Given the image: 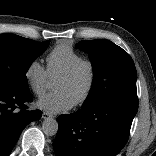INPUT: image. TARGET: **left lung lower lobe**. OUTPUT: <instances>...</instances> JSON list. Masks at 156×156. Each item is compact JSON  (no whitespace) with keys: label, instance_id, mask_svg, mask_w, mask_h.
<instances>
[{"label":"left lung lower lobe","instance_id":"0a47b994","mask_svg":"<svg viewBox=\"0 0 156 156\" xmlns=\"http://www.w3.org/2000/svg\"><path fill=\"white\" fill-rule=\"evenodd\" d=\"M138 104L108 100L58 117L56 156H116L125 146Z\"/></svg>","mask_w":156,"mask_h":156}]
</instances>
